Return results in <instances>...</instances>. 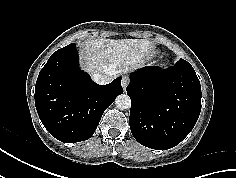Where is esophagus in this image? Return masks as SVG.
I'll return each instance as SVG.
<instances>
[{
  "label": "esophagus",
  "mask_w": 236,
  "mask_h": 178,
  "mask_svg": "<svg viewBox=\"0 0 236 178\" xmlns=\"http://www.w3.org/2000/svg\"><path fill=\"white\" fill-rule=\"evenodd\" d=\"M128 84H129V80L127 78L123 77L121 80V85H122L124 91H126Z\"/></svg>",
  "instance_id": "34e87169"
}]
</instances>
